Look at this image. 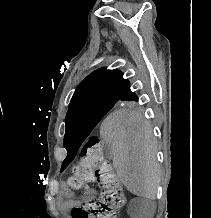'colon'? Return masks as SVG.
<instances>
[{"label":"colon","mask_w":211,"mask_h":218,"mask_svg":"<svg viewBox=\"0 0 211 218\" xmlns=\"http://www.w3.org/2000/svg\"><path fill=\"white\" fill-rule=\"evenodd\" d=\"M92 182L99 184V195L85 205L74 207L72 217L117 218L126 199L114 166L104 155L97 136H90L84 141L68 186L73 190H83Z\"/></svg>","instance_id":"5ec220e1"}]
</instances>
